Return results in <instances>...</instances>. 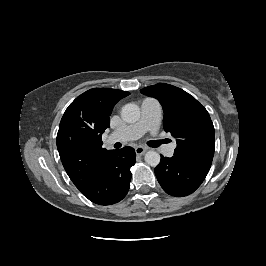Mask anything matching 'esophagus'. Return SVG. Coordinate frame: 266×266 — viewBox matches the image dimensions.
Here are the masks:
<instances>
[{"instance_id": "34e87169", "label": "esophagus", "mask_w": 266, "mask_h": 266, "mask_svg": "<svg viewBox=\"0 0 266 266\" xmlns=\"http://www.w3.org/2000/svg\"><path fill=\"white\" fill-rule=\"evenodd\" d=\"M147 151L146 147L138 146L135 148V152L137 155H143Z\"/></svg>"}]
</instances>
